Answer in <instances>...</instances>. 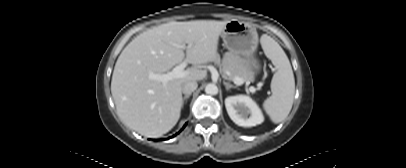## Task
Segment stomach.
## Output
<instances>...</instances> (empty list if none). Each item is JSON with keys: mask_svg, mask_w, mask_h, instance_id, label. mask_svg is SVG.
Masks as SVG:
<instances>
[{"mask_svg": "<svg viewBox=\"0 0 406 168\" xmlns=\"http://www.w3.org/2000/svg\"><path fill=\"white\" fill-rule=\"evenodd\" d=\"M221 37L232 55L245 62L253 74L259 73L261 65L255 57L258 46V33L255 27L239 20H230Z\"/></svg>", "mask_w": 406, "mask_h": 168, "instance_id": "0dacf381", "label": "stomach"}]
</instances>
